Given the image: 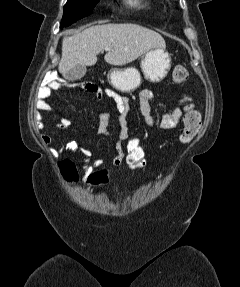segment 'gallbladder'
Masks as SVG:
<instances>
[{"mask_svg":"<svg viewBox=\"0 0 240 287\" xmlns=\"http://www.w3.org/2000/svg\"><path fill=\"white\" fill-rule=\"evenodd\" d=\"M85 73L86 66L78 64L69 70L66 74H64V78L68 81H76L84 77Z\"/></svg>","mask_w":240,"mask_h":287,"instance_id":"1","label":"gallbladder"}]
</instances>
